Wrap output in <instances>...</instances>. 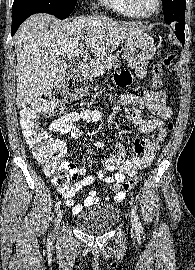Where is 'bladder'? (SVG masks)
Listing matches in <instances>:
<instances>
[{
  "label": "bladder",
  "mask_w": 195,
  "mask_h": 270,
  "mask_svg": "<svg viewBox=\"0 0 195 270\" xmlns=\"http://www.w3.org/2000/svg\"><path fill=\"white\" fill-rule=\"evenodd\" d=\"M119 210L111 204L82 210L75 219V225L89 234H101L111 230L119 220Z\"/></svg>",
  "instance_id": "obj_1"
}]
</instances>
